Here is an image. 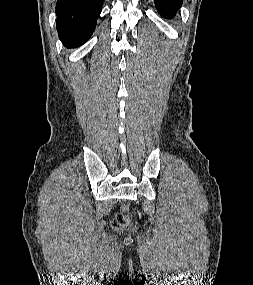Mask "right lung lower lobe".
<instances>
[{"label":"right lung lower lobe","mask_w":253,"mask_h":285,"mask_svg":"<svg viewBox=\"0 0 253 285\" xmlns=\"http://www.w3.org/2000/svg\"><path fill=\"white\" fill-rule=\"evenodd\" d=\"M103 0H57L59 38L67 48L84 44L93 33Z\"/></svg>","instance_id":"98d812e1"}]
</instances>
